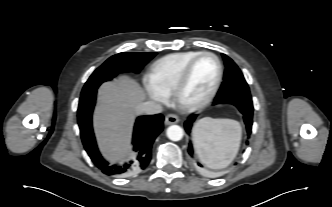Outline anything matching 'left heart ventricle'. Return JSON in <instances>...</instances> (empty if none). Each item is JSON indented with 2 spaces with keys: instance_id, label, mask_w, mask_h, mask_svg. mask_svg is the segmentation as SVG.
<instances>
[{
  "instance_id": "b2bd125f",
  "label": "left heart ventricle",
  "mask_w": 332,
  "mask_h": 207,
  "mask_svg": "<svg viewBox=\"0 0 332 207\" xmlns=\"http://www.w3.org/2000/svg\"><path fill=\"white\" fill-rule=\"evenodd\" d=\"M217 75V63L211 56L202 57L194 66L184 92L187 101L203 98L212 88Z\"/></svg>"
}]
</instances>
